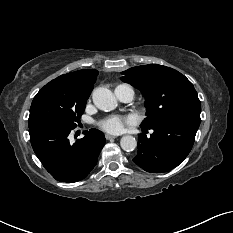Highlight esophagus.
Here are the masks:
<instances>
[{
    "mask_svg": "<svg viewBox=\"0 0 233 233\" xmlns=\"http://www.w3.org/2000/svg\"><path fill=\"white\" fill-rule=\"evenodd\" d=\"M105 137H106L107 140H111V139L116 138V136H113V135H110V134H106Z\"/></svg>",
    "mask_w": 233,
    "mask_h": 233,
    "instance_id": "1",
    "label": "esophagus"
}]
</instances>
